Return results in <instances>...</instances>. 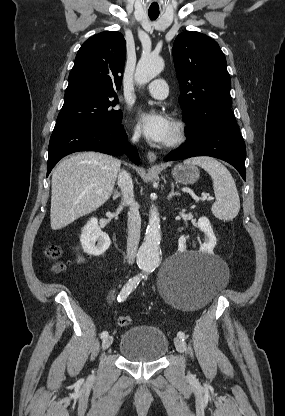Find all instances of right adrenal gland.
Wrapping results in <instances>:
<instances>
[{
    "instance_id": "2a0ac1e0",
    "label": "right adrenal gland",
    "mask_w": 285,
    "mask_h": 416,
    "mask_svg": "<svg viewBox=\"0 0 285 416\" xmlns=\"http://www.w3.org/2000/svg\"><path fill=\"white\" fill-rule=\"evenodd\" d=\"M119 196H121V194H119V192H117V190H114L113 196H112L113 200H117V198H119Z\"/></svg>"
}]
</instances>
